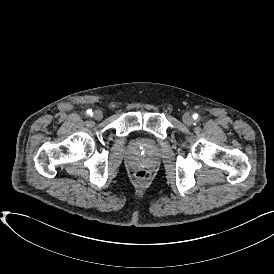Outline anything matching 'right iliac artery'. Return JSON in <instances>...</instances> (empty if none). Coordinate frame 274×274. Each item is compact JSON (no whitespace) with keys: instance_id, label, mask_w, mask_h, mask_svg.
Segmentation results:
<instances>
[{"instance_id":"obj_1","label":"right iliac artery","mask_w":274,"mask_h":274,"mask_svg":"<svg viewBox=\"0 0 274 274\" xmlns=\"http://www.w3.org/2000/svg\"><path fill=\"white\" fill-rule=\"evenodd\" d=\"M87 114H88V115H92V110H91V109H88V110H87Z\"/></svg>"}]
</instances>
